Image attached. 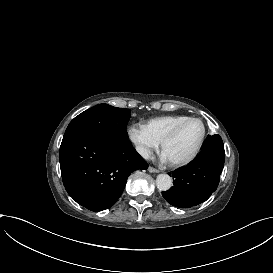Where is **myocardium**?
Segmentation results:
<instances>
[{"instance_id": "myocardium-1", "label": "myocardium", "mask_w": 273, "mask_h": 273, "mask_svg": "<svg viewBox=\"0 0 273 273\" xmlns=\"http://www.w3.org/2000/svg\"><path fill=\"white\" fill-rule=\"evenodd\" d=\"M200 121L203 125V133L202 136L197 144V146L195 147V149L193 150V152L185 159L183 160H179V161H169L170 166L172 167H184L189 165L190 163H192L196 157L198 156V154L200 153L203 144L205 142L207 133H208V125L206 123V121L204 119H202L201 117L198 116H190L187 119L177 123L175 126H173L171 128V130L162 138V140L160 141V146H161V150H164L165 145L171 141L176 134L178 133V131L187 123L191 122V121Z\"/></svg>"}]
</instances>
